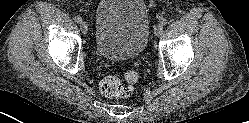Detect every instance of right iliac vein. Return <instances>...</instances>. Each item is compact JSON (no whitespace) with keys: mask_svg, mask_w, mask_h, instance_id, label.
<instances>
[{"mask_svg":"<svg viewBox=\"0 0 249 123\" xmlns=\"http://www.w3.org/2000/svg\"><path fill=\"white\" fill-rule=\"evenodd\" d=\"M80 29L82 33L86 34L88 32V24L84 21L80 23Z\"/></svg>","mask_w":249,"mask_h":123,"instance_id":"63e3f726","label":"right iliac vein"}]
</instances>
